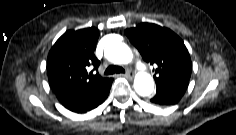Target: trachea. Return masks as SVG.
I'll use <instances>...</instances> for the list:
<instances>
[{"label":"trachea","mask_w":236,"mask_h":135,"mask_svg":"<svg viewBox=\"0 0 236 135\" xmlns=\"http://www.w3.org/2000/svg\"><path fill=\"white\" fill-rule=\"evenodd\" d=\"M114 73H125V70L120 66L110 65L104 72L105 75H111Z\"/></svg>","instance_id":"obj_1"}]
</instances>
